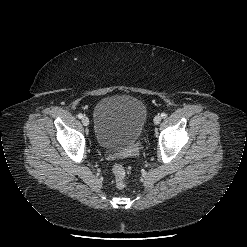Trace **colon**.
Returning a JSON list of instances; mask_svg holds the SVG:
<instances>
[{"mask_svg": "<svg viewBox=\"0 0 247 247\" xmlns=\"http://www.w3.org/2000/svg\"><path fill=\"white\" fill-rule=\"evenodd\" d=\"M117 188L123 189L126 186V170L123 165L115 164L112 168Z\"/></svg>", "mask_w": 247, "mask_h": 247, "instance_id": "1", "label": "colon"}]
</instances>
